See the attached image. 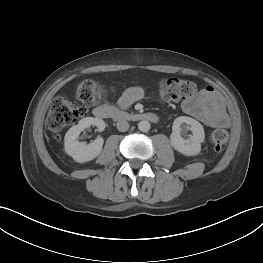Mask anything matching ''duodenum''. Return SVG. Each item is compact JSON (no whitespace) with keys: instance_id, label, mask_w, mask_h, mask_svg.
Masks as SVG:
<instances>
[{"instance_id":"1","label":"duodenum","mask_w":263,"mask_h":263,"mask_svg":"<svg viewBox=\"0 0 263 263\" xmlns=\"http://www.w3.org/2000/svg\"><path fill=\"white\" fill-rule=\"evenodd\" d=\"M93 114L100 119H113L117 121H150L157 122L158 116L154 113H128L123 110L112 108L107 105L98 106L94 109Z\"/></svg>"}]
</instances>
